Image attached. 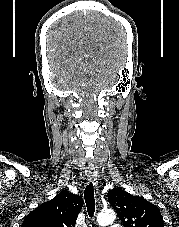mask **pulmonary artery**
Instances as JSON below:
<instances>
[{
  "mask_svg": "<svg viewBox=\"0 0 179 227\" xmlns=\"http://www.w3.org/2000/svg\"><path fill=\"white\" fill-rule=\"evenodd\" d=\"M109 227H121L119 224H111Z\"/></svg>",
  "mask_w": 179,
  "mask_h": 227,
  "instance_id": "obj_1",
  "label": "pulmonary artery"
}]
</instances>
